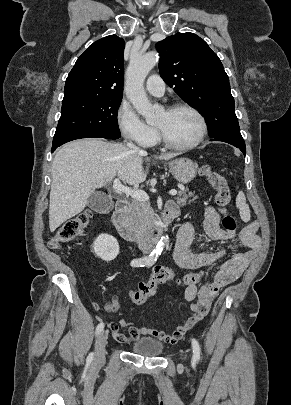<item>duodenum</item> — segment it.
<instances>
[{"label": "duodenum", "mask_w": 291, "mask_h": 405, "mask_svg": "<svg viewBox=\"0 0 291 405\" xmlns=\"http://www.w3.org/2000/svg\"><path fill=\"white\" fill-rule=\"evenodd\" d=\"M131 211V203L127 199H120L116 204L113 214V224L120 235L125 241L134 243L144 251L150 250L159 238L163 230V224L173 220L178 210L174 206H167L161 219V223L143 235H138L134 232L130 221L129 214Z\"/></svg>", "instance_id": "1"}]
</instances>
